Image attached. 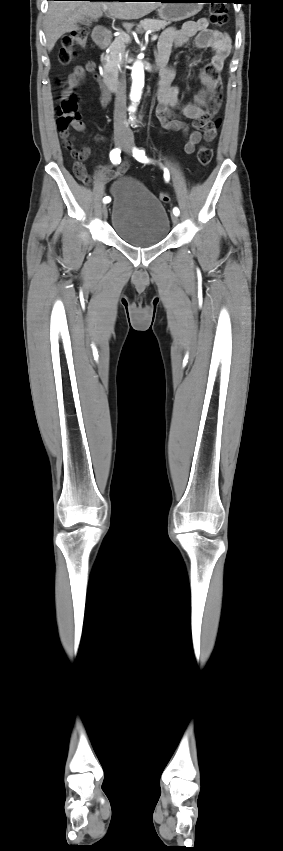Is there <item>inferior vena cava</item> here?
Here are the masks:
<instances>
[{"label":"inferior vena cava","instance_id":"602c4592","mask_svg":"<svg viewBox=\"0 0 283 851\" xmlns=\"http://www.w3.org/2000/svg\"><path fill=\"white\" fill-rule=\"evenodd\" d=\"M126 120V87L125 82L122 79L118 85V89L115 94V103H114V130L122 133L127 132V128L125 126Z\"/></svg>","mask_w":283,"mask_h":851}]
</instances>
